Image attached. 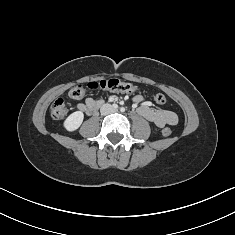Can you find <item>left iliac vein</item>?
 <instances>
[{"label": "left iliac vein", "mask_w": 235, "mask_h": 235, "mask_svg": "<svg viewBox=\"0 0 235 235\" xmlns=\"http://www.w3.org/2000/svg\"><path fill=\"white\" fill-rule=\"evenodd\" d=\"M117 111H118V110H116V109L114 110V112H117Z\"/></svg>", "instance_id": "left-iliac-vein-1"}]
</instances>
